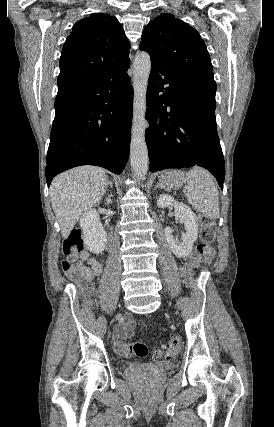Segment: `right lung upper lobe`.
Wrapping results in <instances>:
<instances>
[{"label": "right lung upper lobe", "mask_w": 274, "mask_h": 427, "mask_svg": "<svg viewBox=\"0 0 274 427\" xmlns=\"http://www.w3.org/2000/svg\"><path fill=\"white\" fill-rule=\"evenodd\" d=\"M129 47L116 17L93 13L78 21L62 49L56 99L94 86L128 67Z\"/></svg>", "instance_id": "1"}]
</instances>
